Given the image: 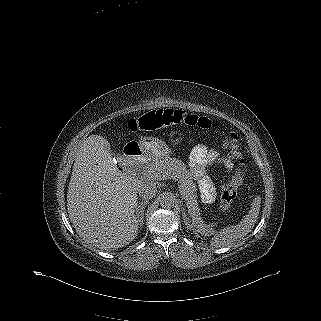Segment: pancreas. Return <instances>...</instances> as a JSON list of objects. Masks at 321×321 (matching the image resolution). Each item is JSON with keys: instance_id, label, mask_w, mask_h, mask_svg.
Listing matches in <instances>:
<instances>
[{"instance_id": "pancreas-1", "label": "pancreas", "mask_w": 321, "mask_h": 321, "mask_svg": "<svg viewBox=\"0 0 321 321\" xmlns=\"http://www.w3.org/2000/svg\"><path fill=\"white\" fill-rule=\"evenodd\" d=\"M147 169L158 171L166 178L175 177L180 182L181 194L185 199L188 212L196 223L201 224L200 208L195 194L196 186L193 176L187 171L185 164L176 158L164 157L154 159L147 165Z\"/></svg>"}]
</instances>
